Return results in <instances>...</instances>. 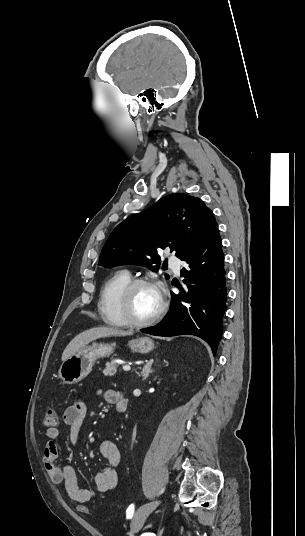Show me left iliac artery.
<instances>
[{"instance_id":"1","label":"left iliac artery","mask_w":305,"mask_h":536,"mask_svg":"<svg viewBox=\"0 0 305 536\" xmlns=\"http://www.w3.org/2000/svg\"><path fill=\"white\" fill-rule=\"evenodd\" d=\"M133 513H134V505H130L126 511V515H127V518H132L133 516Z\"/></svg>"}]
</instances>
